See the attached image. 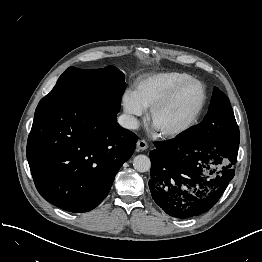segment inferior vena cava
Wrapping results in <instances>:
<instances>
[{
  "label": "inferior vena cava",
  "instance_id": "602c4592",
  "mask_svg": "<svg viewBox=\"0 0 262 262\" xmlns=\"http://www.w3.org/2000/svg\"><path fill=\"white\" fill-rule=\"evenodd\" d=\"M118 123L120 126L126 129H138L139 122L138 120L131 115L122 114L118 117Z\"/></svg>",
  "mask_w": 262,
  "mask_h": 262
}]
</instances>
